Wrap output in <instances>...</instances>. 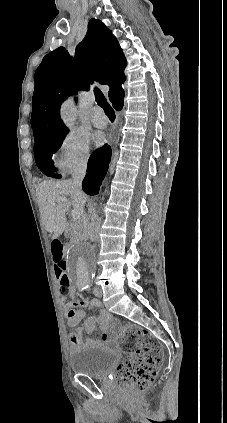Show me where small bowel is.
I'll list each match as a JSON object with an SVG mask.
<instances>
[{"instance_id":"obj_1","label":"small bowel","mask_w":227,"mask_h":423,"mask_svg":"<svg viewBox=\"0 0 227 423\" xmlns=\"http://www.w3.org/2000/svg\"><path fill=\"white\" fill-rule=\"evenodd\" d=\"M71 301L66 302V297H61V302L64 306V317L69 326L75 327L81 321H83V327H78L75 332L70 334L69 341L70 346L73 350L79 347L82 343V332L83 330L88 334H91L95 331L98 326L104 333L101 336L102 341H106L108 335L106 333L107 328L110 323L113 322L112 316L101 306L98 301L88 302L85 299H76V290L75 287L71 284L69 291L67 292ZM90 307L95 313L96 316H85V312L82 308ZM88 342L92 343L93 340L89 339Z\"/></svg>"}]
</instances>
